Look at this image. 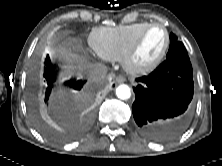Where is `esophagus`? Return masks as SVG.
I'll return each mask as SVG.
<instances>
[{
  "label": "esophagus",
  "mask_w": 222,
  "mask_h": 166,
  "mask_svg": "<svg viewBox=\"0 0 222 166\" xmlns=\"http://www.w3.org/2000/svg\"><path fill=\"white\" fill-rule=\"evenodd\" d=\"M115 80H116L117 83H123V82L126 81V78L122 75H119L115 78Z\"/></svg>",
  "instance_id": "esophagus-1"
}]
</instances>
